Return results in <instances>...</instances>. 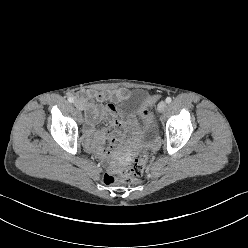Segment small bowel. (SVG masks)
<instances>
[{"mask_svg":"<svg viewBox=\"0 0 248 248\" xmlns=\"http://www.w3.org/2000/svg\"><path fill=\"white\" fill-rule=\"evenodd\" d=\"M129 93L130 90L126 88H118L105 92L90 90L80 94L79 98L87 111L85 143L88 149L99 154L111 155L112 150L119 147L125 127L115 103L126 98ZM95 100L99 104H96ZM100 122L104 125L97 127ZM108 138L109 146L106 145Z\"/></svg>","mask_w":248,"mask_h":248,"instance_id":"c3829d8e","label":"small bowel"}]
</instances>
